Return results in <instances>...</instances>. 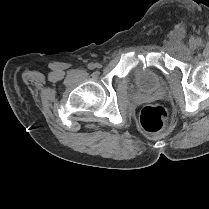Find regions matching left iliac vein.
<instances>
[{
    "label": "left iliac vein",
    "mask_w": 209,
    "mask_h": 209,
    "mask_svg": "<svg viewBox=\"0 0 209 209\" xmlns=\"http://www.w3.org/2000/svg\"><path fill=\"white\" fill-rule=\"evenodd\" d=\"M190 48H191V49H195V43H194V41H191V42H190Z\"/></svg>",
    "instance_id": "4c4485c4"
}]
</instances>
